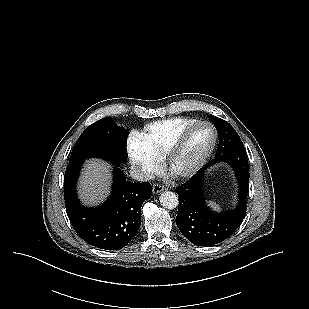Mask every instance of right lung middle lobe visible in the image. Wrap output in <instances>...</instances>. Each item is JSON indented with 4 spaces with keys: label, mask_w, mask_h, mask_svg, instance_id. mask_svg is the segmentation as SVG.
<instances>
[{
    "label": "right lung middle lobe",
    "mask_w": 309,
    "mask_h": 309,
    "mask_svg": "<svg viewBox=\"0 0 309 309\" xmlns=\"http://www.w3.org/2000/svg\"><path fill=\"white\" fill-rule=\"evenodd\" d=\"M128 129L117 126L111 118L90 125L79 137L71 153L69 165L89 157H99L119 165L127 157Z\"/></svg>",
    "instance_id": "obj_1"
}]
</instances>
